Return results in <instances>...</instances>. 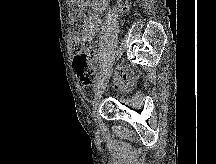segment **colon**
I'll return each instance as SVG.
<instances>
[{
	"label": "colon",
	"mask_w": 216,
	"mask_h": 164,
	"mask_svg": "<svg viewBox=\"0 0 216 164\" xmlns=\"http://www.w3.org/2000/svg\"><path fill=\"white\" fill-rule=\"evenodd\" d=\"M118 7L121 11H126L128 8L127 0H119ZM95 24L91 20L85 21L84 32L75 35L71 45V50L75 54L74 66L76 72L82 83L86 86L94 84L97 79V67L94 55L91 51H85L86 36Z\"/></svg>",
	"instance_id": "obj_1"
}]
</instances>
